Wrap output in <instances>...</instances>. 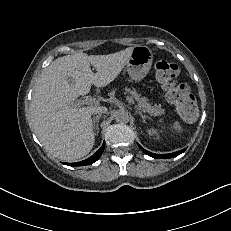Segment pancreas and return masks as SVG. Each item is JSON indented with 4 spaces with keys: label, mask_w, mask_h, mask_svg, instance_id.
Instances as JSON below:
<instances>
[{
    "label": "pancreas",
    "mask_w": 231,
    "mask_h": 231,
    "mask_svg": "<svg viewBox=\"0 0 231 231\" xmlns=\"http://www.w3.org/2000/svg\"><path fill=\"white\" fill-rule=\"evenodd\" d=\"M125 93L131 94V96L138 102V109L154 116H161L165 113V110L161 108L160 105H152L145 97H141V95L138 94L135 90L125 88Z\"/></svg>",
    "instance_id": "cf45deb5"
}]
</instances>
